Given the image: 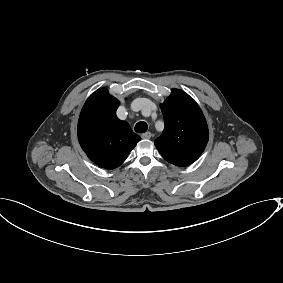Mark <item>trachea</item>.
Here are the masks:
<instances>
[{"instance_id":"3493384b","label":"trachea","mask_w":283,"mask_h":283,"mask_svg":"<svg viewBox=\"0 0 283 283\" xmlns=\"http://www.w3.org/2000/svg\"><path fill=\"white\" fill-rule=\"evenodd\" d=\"M148 129V125L144 121H140L135 125V131L137 133H145Z\"/></svg>"}]
</instances>
